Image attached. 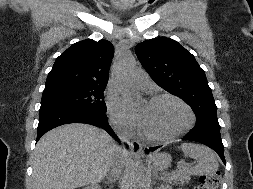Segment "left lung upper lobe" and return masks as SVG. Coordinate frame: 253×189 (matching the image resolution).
Segmentation results:
<instances>
[{
  "label": "left lung upper lobe",
  "instance_id": "obj_1",
  "mask_svg": "<svg viewBox=\"0 0 253 189\" xmlns=\"http://www.w3.org/2000/svg\"><path fill=\"white\" fill-rule=\"evenodd\" d=\"M135 52L155 83L191 106L196 124L219 125L206 75L188 50L175 40L160 37L138 44Z\"/></svg>",
  "mask_w": 253,
  "mask_h": 189
}]
</instances>
